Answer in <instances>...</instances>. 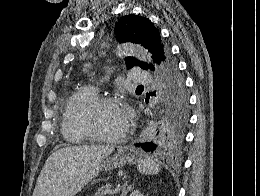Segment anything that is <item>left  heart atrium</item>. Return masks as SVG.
I'll use <instances>...</instances> for the list:
<instances>
[{"label": "left heart atrium", "instance_id": "left-heart-atrium-1", "mask_svg": "<svg viewBox=\"0 0 260 196\" xmlns=\"http://www.w3.org/2000/svg\"><path fill=\"white\" fill-rule=\"evenodd\" d=\"M125 116H126V120L128 121L130 116V111L127 108H125Z\"/></svg>", "mask_w": 260, "mask_h": 196}]
</instances>
